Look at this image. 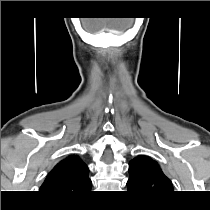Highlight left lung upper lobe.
<instances>
[{"label":"left lung upper lobe","instance_id":"1","mask_svg":"<svg viewBox=\"0 0 210 210\" xmlns=\"http://www.w3.org/2000/svg\"><path fill=\"white\" fill-rule=\"evenodd\" d=\"M127 187L150 196H162L173 192L169 178L150 157L139 155L129 162Z\"/></svg>","mask_w":210,"mask_h":210}]
</instances>
